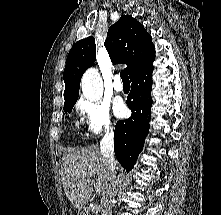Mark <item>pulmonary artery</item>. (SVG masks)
I'll return each instance as SVG.
<instances>
[{
  "label": "pulmonary artery",
  "mask_w": 221,
  "mask_h": 215,
  "mask_svg": "<svg viewBox=\"0 0 221 215\" xmlns=\"http://www.w3.org/2000/svg\"><path fill=\"white\" fill-rule=\"evenodd\" d=\"M113 87L117 92H121L123 90V83L121 81L120 75H116L114 77Z\"/></svg>",
  "instance_id": "pulmonary-artery-1"
}]
</instances>
